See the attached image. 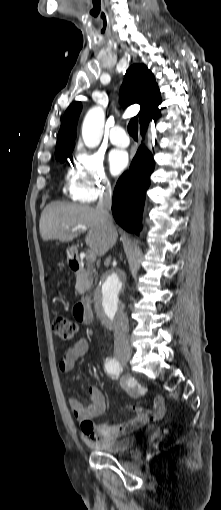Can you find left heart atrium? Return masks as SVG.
I'll list each match as a JSON object with an SVG mask.
<instances>
[{"label":"left heart atrium","mask_w":221,"mask_h":510,"mask_svg":"<svg viewBox=\"0 0 221 510\" xmlns=\"http://www.w3.org/2000/svg\"><path fill=\"white\" fill-rule=\"evenodd\" d=\"M110 168L113 174L121 173L128 164V157L125 152L113 150L109 156Z\"/></svg>","instance_id":"39dd6f15"}]
</instances>
